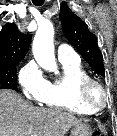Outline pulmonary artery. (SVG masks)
<instances>
[{
  "mask_svg": "<svg viewBox=\"0 0 117 136\" xmlns=\"http://www.w3.org/2000/svg\"><path fill=\"white\" fill-rule=\"evenodd\" d=\"M57 55L60 62L79 61V56L67 44H60L57 48Z\"/></svg>",
  "mask_w": 117,
  "mask_h": 136,
  "instance_id": "e3ab8cb5",
  "label": "pulmonary artery"
}]
</instances>
